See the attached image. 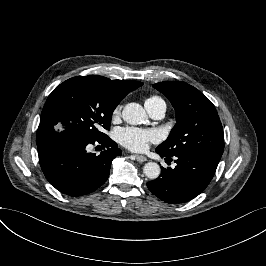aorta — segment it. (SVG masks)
I'll return each instance as SVG.
<instances>
[{"mask_svg": "<svg viewBox=\"0 0 266 266\" xmlns=\"http://www.w3.org/2000/svg\"><path fill=\"white\" fill-rule=\"evenodd\" d=\"M123 120L131 125L147 123L148 116L144 108L138 103L127 104L122 111ZM143 173L151 180L159 177L161 173L160 166L155 162H148L143 167Z\"/></svg>", "mask_w": 266, "mask_h": 266, "instance_id": "1", "label": "aorta"}]
</instances>
